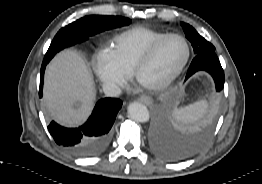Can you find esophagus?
<instances>
[{"label": "esophagus", "mask_w": 262, "mask_h": 184, "mask_svg": "<svg viewBox=\"0 0 262 184\" xmlns=\"http://www.w3.org/2000/svg\"><path fill=\"white\" fill-rule=\"evenodd\" d=\"M138 100L148 106H150L153 103L152 98L148 96H141Z\"/></svg>", "instance_id": "esophagus-1"}]
</instances>
